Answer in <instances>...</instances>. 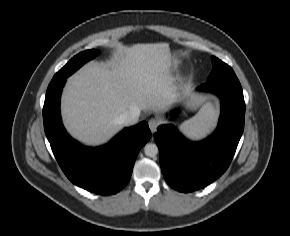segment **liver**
Here are the masks:
<instances>
[{"label":"liver","mask_w":290,"mask_h":236,"mask_svg":"<svg viewBox=\"0 0 290 236\" xmlns=\"http://www.w3.org/2000/svg\"><path fill=\"white\" fill-rule=\"evenodd\" d=\"M168 43L120 48L107 63L91 62L69 77L61 101L63 123L87 146L109 141L126 111L162 113L173 102Z\"/></svg>","instance_id":"6515ba94"}]
</instances>
